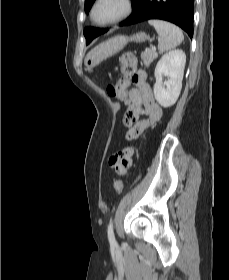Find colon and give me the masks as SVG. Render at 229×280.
<instances>
[{
  "mask_svg": "<svg viewBox=\"0 0 229 280\" xmlns=\"http://www.w3.org/2000/svg\"><path fill=\"white\" fill-rule=\"evenodd\" d=\"M120 63L122 65L121 72L124 78L120 85L130 82L138 84L145 80L144 72L137 68L136 57L133 52L126 51L122 53L120 56ZM125 121L129 123L130 118H126ZM109 164L114 167L118 173H122L125 171L128 161L125 158L124 152L118 151L110 156ZM114 188L117 193H120L123 189V182L121 180L115 181Z\"/></svg>",
  "mask_w": 229,
  "mask_h": 280,
  "instance_id": "5ec220e1",
  "label": "colon"
}]
</instances>
